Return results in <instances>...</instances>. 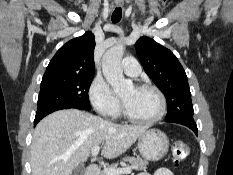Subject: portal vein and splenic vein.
<instances>
[{"label":"portal vein and splenic vein","instance_id":"obj_1","mask_svg":"<svg viewBox=\"0 0 233 175\" xmlns=\"http://www.w3.org/2000/svg\"><path fill=\"white\" fill-rule=\"evenodd\" d=\"M100 147L99 146H94L91 150L92 156L96 157L99 153ZM104 172L106 175H122V174H130L131 173V168L126 167V168H119V169H113V168H105Z\"/></svg>","mask_w":233,"mask_h":175}]
</instances>
